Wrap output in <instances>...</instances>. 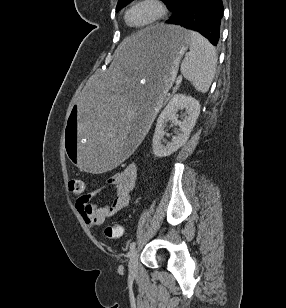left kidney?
<instances>
[{"mask_svg": "<svg viewBox=\"0 0 286 308\" xmlns=\"http://www.w3.org/2000/svg\"><path fill=\"white\" fill-rule=\"evenodd\" d=\"M178 108L185 109L188 114L182 122L178 121L176 115ZM199 114V101L191 96H186L185 94L174 95L157 119L152 143L154 155L157 157H166L183 146L187 142ZM169 120L180 127V133L173 136L171 142L163 145V137L166 134L165 127Z\"/></svg>", "mask_w": 286, "mask_h": 308, "instance_id": "1", "label": "left kidney"}]
</instances>
